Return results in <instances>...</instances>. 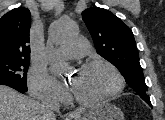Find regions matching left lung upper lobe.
Masks as SVG:
<instances>
[{
    "mask_svg": "<svg viewBox=\"0 0 165 120\" xmlns=\"http://www.w3.org/2000/svg\"><path fill=\"white\" fill-rule=\"evenodd\" d=\"M82 19L97 53L115 65L136 94L151 104L130 28L110 11L98 7L84 10Z\"/></svg>",
    "mask_w": 165,
    "mask_h": 120,
    "instance_id": "1",
    "label": "left lung upper lobe"
}]
</instances>
